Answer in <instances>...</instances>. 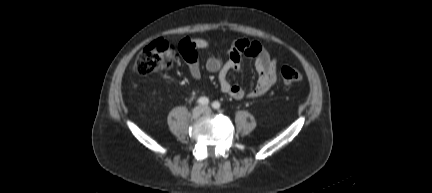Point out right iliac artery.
I'll return each mask as SVG.
<instances>
[{"label":"right iliac artery","instance_id":"82829eb1","mask_svg":"<svg viewBox=\"0 0 432 193\" xmlns=\"http://www.w3.org/2000/svg\"><path fill=\"white\" fill-rule=\"evenodd\" d=\"M197 103H199L200 105L206 106L209 104V99L207 97H200L197 100Z\"/></svg>","mask_w":432,"mask_h":193}]
</instances>
